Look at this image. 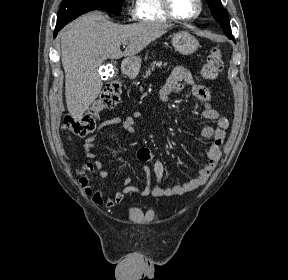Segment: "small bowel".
I'll return each instance as SVG.
<instances>
[{
    "label": "small bowel",
    "instance_id": "small-bowel-1",
    "mask_svg": "<svg viewBox=\"0 0 288 280\" xmlns=\"http://www.w3.org/2000/svg\"><path fill=\"white\" fill-rule=\"evenodd\" d=\"M184 84L190 85L192 95L204 104V110L201 113V117L215 121L216 123L215 126H205L201 131V135L206 139H211V143L205 152H201V155L205 158V163L199 169L197 175L183 184L169 188L162 187L161 181L165 171L164 165L159 159L153 156L148 148L142 147L137 151V159L143 163L152 164V167H149L147 164L143 166L146 173V186L139 188L133 185L132 178L125 177L123 179V186L114 194L106 197L102 190H94L91 184H86L84 186V192L86 195L91 196L92 202L95 205H105L108 209H112L121 204L128 195H137L140 197H170L184 195L204 185L208 181L221 156V145L225 136V131L229 126V120L227 117L220 115L213 107V99L209 90L205 86L197 83L191 72L184 67H176L173 69L160 90L161 99L166 102L172 93L181 91ZM141 116L142 113L140 111H135L132 115L125 118L117 116L107 119L101 122L94 134L85 140L83 146L85 155L87 158L93 160L94 165L99 169V176L101 178H108L110 173L103 168V165L99 160H96L97 155L94 152L96 140L107 129L113 126H120L125 131L133 133L135 124ZM152 174L154 175V180L152 179Z\"/></svg>",
    "mask_w": 288,
    "mask_h": 280
}]
</instances>
